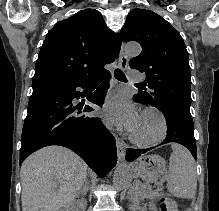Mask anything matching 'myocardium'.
Masks as SVG:
<instances>
[{"label":"myocardium","instance_id":"1","mask_svg":"<svg viewBox=\"0 0 219 211\" xmlns=\"http://www.w3.org/2000/svg\"><path fill=\"white\" fill-rule=\"evenodd\" d=\"M155 114L159 120H160V127L158 132L150 137H143L140 135H137L136 133H134V131L130 132V140L138 145H144V146H148V145H153L159 141H161L166 133H167V118L165 116V114L157 107H146L145 109H143L140 113L139 117H142L146 114Z\"/></svg>","mask_w":219,"mask_h":211}]
</instances>
